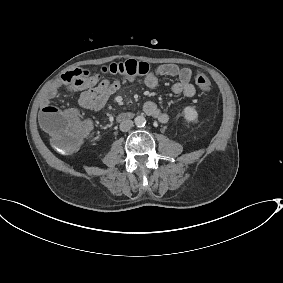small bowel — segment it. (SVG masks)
<instances>
[{"instance_id": "small-bowel-1", "label": "small bowel", "mask_w": 283, "mask_h": 283, "mask_svg": "<svg viewBox=\"0 0 283 283\" xmlns=\"http://www.w3.org/2000/svg\"><path fill=\"white\" fill-rule=\"evenodd\" d=\"M161 76L177 78V81L172 85L174 94H183L186 97L195 95L196 89L190 82L192 76L190 69L180 68L176 64H162L145 76L144 83L149 88H155ZM133 81V78L126 79L128 84L133 83ZM61 87H65L70 92H79V105L89 111L97 112L105 106L111 96L120 90L121 83L118 80L101 79L98 75L84 69L66 72L45 92L41 101L42 111L53 107L51 101L57 96ZM143 111L162 124L169 120V115L155 102H145Z\"/></svg>"}]
</instances>
